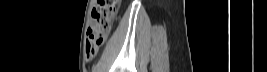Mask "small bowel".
<instances>
[{"label":"small bowel","mask_w":267,"mask_h":72,"mask_svg":"<svg viewBox=\"0 0 267 72\" xmlns=\"http://www.w3.org/2000/svg\"><path fill=\"white\" fill-rule=\"evenodd\" d=\"M87 48H88V43L86 42V56H87V58L91 59L96 55L97 52H95L93 54L88 53Z\"/></svg>","instance_id":"1"}]
</instances>
